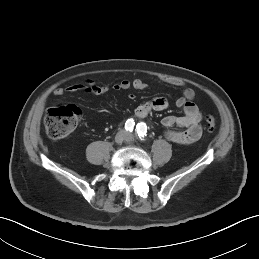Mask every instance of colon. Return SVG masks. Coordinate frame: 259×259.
Returning <instances> with one entry per match:
<instances>
[{
    "instance_id": "colon-1",
    "label": "colon",
    "mask_w": 259,
    "mask_h": 259,
    "mask_svg": "<svg viewBox=\"0 0 259 259\" xmlns=\"http://www.w3.org/2000/svg\"><path fill=\"white\" fill-rule=\"evenodd\" d=\"M81 110L73 104H61L51 108L45 116V128L52 139H61L67 136L77 125ZM217 121L210 115L205 116V127L208 132L217 129Z\"/></svg>"
}]
</instances>
